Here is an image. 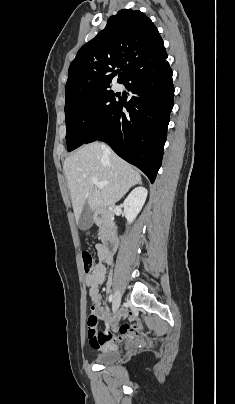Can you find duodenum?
Segmentation results:
<instances>
[{
  "label": "duodenum",
  "mask_w": 235,
  "mask_h": 404,
  "mask_svg": "<svg viewBox=\"0 0 235 404\" xmlns=\"http://www.w3.org/2000/svg\"><path fill=\"white\" fill-rule=\"evenodd\" d=\"M113 212L111 209L106 210L103 213L97 214L94 217V221L99 223L101 226V236L103 240L104 247L110 257H113L117 247L118 240L113 230ZM111 260V258H109Z\"/></svg>",
  "instance_id": "410a0bca"
}]
</instances>
